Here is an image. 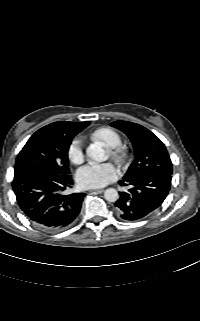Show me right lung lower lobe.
<instances>
[{
	"label": "right lung lower lobe",
	"mask_w": 200,
	"mask_h": 321,
	"mask_svg": "<svg viewBox=\"0 0 200 321\" xmlns=\"http://www.w3.org/2000/svg\"><path fill=\"white\" fill-rule=\"evenodd\" d=\"M72 185L70 174H57L45 165L16 168L12 182L24 215L47 232L69 227L78 216L85 194H67Z\"/></svg>",
	"instance_id": "98d812e1"
}]
</instances>
